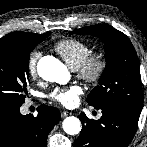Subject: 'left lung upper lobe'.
Segmentation results:
<instances>
[{
	"label": "left lung upper lobe",
	"instance_id": "1",
	"mask_svg": "<svg viewBox=\"0 0 147 147\" xmlns=\"http://www.w3.org/2000/svg\"><path fill=\"white\" fill-rule=\"evenodd\" d=\"M72 33L94 35L104 42L106 67L98 86L87 97L88 104L96 109L117 106L140 115L143 92L139 61L129 38L104 24L80 28Z\"/></svg>",
	"mask_w": 147,
	"mask_h": 147
}]
</instances>
